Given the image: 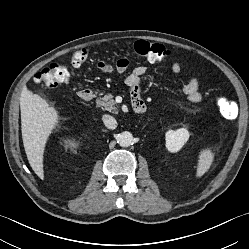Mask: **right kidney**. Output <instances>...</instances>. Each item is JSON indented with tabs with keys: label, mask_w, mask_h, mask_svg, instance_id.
<instances>
[{
	"label": "right kidney",
	"mask_w": 249,
	"mask_h": 249,
	"mask_svg": "<svg viewBox=\"0 0 249 249\" xmlns=\"http://www.w3.org/2000/svg\"><path fill=\"white\" fill-rule=\"evenodd\" d=\"M65 143H66V147H67V148H71V149H75V148H77V146H78L77 143H74V142H72V141H66Z\"/></svg>",
	"instance_id": "1"
}]
</instances>
